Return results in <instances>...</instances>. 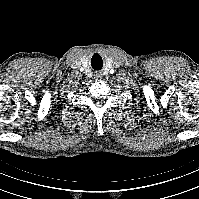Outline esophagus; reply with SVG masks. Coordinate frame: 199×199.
Here are the masks:
<instances>
[{
	"instance_id": "esophagus-1",
	"label": "esophagus",
	"mask_w": 199,
	"mask_h": 199,
	"mask_svg": "<svg viewBox=\"0 0 199 199\" xmlns=\"http://www.w3.org/2000/svg\"><path fill=\"white\" fill-rule=\"evenodd\" d=\"M96 77V80H99V79H101L102 78V73L101 72H99V73H96V75H95Z\"/></svg>"
}]
</instances>
